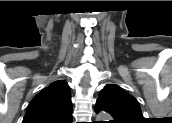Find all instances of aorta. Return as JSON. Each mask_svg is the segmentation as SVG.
I'll list each match as a JSON object with an SVG mask.
<instances>
[{
    "instance_id": "obj_1",
    "label": "aorta",
    "mask_w": 172,
    "mask_h": 123,
    "mask_svg": "<svg viewBox=\"0 0 172 123\" xmlns=\"http://www.w3.org/2000/svg\"><path fill=\"white\" fill-rule=\"evenodd\" d=\"M98 118L99 119H105V118H110V116L107 113H100L98 115Z\"/></svg>"
}]
</instances>
